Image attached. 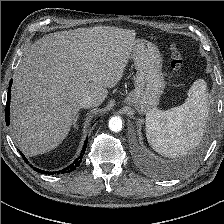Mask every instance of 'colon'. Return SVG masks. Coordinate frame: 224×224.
<instances>
[{"instance_id": "5ec220e1", "label": "colon", "mask_w": 224, "mask_h": 224, "mask_svg": "<svg viewBox=\"0 0 224 224\" xmlns=\"http://www.w3.org/2000/svg\"><path fill=\"white\" fill-rule=\"evenodd\" d=\"M186 61V53L184 49L181 47L174 45L172 46V60H171V67L175 71L180 70Z\"/></svg>"}]
</instances>
